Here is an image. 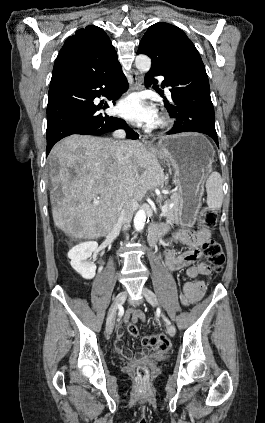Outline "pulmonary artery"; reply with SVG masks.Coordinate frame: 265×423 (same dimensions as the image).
<instances>
[{
	"label": "pulmonary artery",
	"mask_w": 265,
	"mask_h": 423,
	"mask_svg": "<svg viewBox=\"0 0 265 423\" xmlns=\"http://www.w3.org/2000/svg\"><path fill=\"white\" fill-rule=\"evenodd\" d=\"M166 92L169 94V89L168 88H166Z\"/></svg>",
	"instance_id": "pulmonary-artery-1"
}]
</instances>
